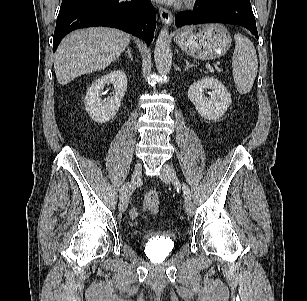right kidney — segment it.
Listing matches in <instances>:
<instances>
[{
	"mask_svg": "<svg viewBox=\"0 0 307 301\" xmlns=\"http://www.w3.org/2000/svg\"><path fill=\"white\" fill-rule=\"evenodd\" d=\"M114 86L113 97L100 98V91L106 84ZM127 89V77L124 71L114 70L97 78L87 90L84 105L89 116L97 123H105L114 118Z\"/></svg>",
	"mask_w": 307,
	"mask_h": 301,
	"instance_id": "1",
	"label": "right kidney"
}]
</instances>
